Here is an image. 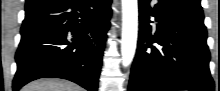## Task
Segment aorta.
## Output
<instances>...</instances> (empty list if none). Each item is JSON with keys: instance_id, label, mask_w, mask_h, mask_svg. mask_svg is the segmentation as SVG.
I'll return each mask as SVG.
<instances>
[{"instance_id": "1", "label": "aorta", "mask_w": 220, "mask_h": 91, "mask_svg": "<svg viewBox=\"0 0 220 91\" xmlns=\"http://www.w3.org/2000/svg\"><path fill=\"white\" fill-rule=\"evenodd\" d=\"M138 34V1L122 0V64H131L136 50Z\"/></svg>"}]
</instances>
